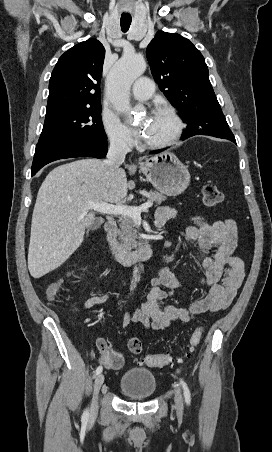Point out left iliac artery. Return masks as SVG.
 <instances>
[{
    "instance_id": "left-iliac-artery-1",
    "label": "left iliac artery",
    "mask_w": 272,
    "mask_h": 452,
    "mask_svg": "<svg viewBox=\"0 0 272 452\" xmlns=\"http://www.w3.org/2000/svg\"><path fill=\"white\" fill-rule=\"evenodd\" d=\"M180 384L182 385V388H183L185 401H186L187 404H190V402H191V395H190L189 388H188L187 384L182 379H180Z\"/></svg>"
}]
</instances>
